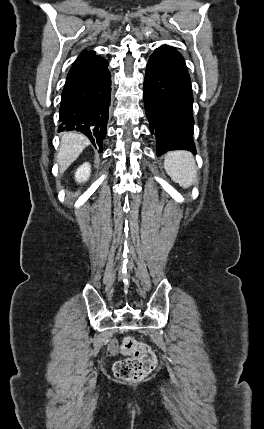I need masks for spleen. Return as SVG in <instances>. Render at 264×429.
<instances>
[{
	"mask_svg": "<svg viewBox=\"0 0 264 429\" xmlns=\"http://www.w3.org/2000/svg\"><path fill=\"white\" fill-rule=\"evenodd\" d=\"M164 168L171 179L184 188H189L197 181L196 164L190 152H169L164 159Z\"/></svg>",
	"mask_w": 264,
	"mask_h": 429,
	"instance_id": "3e777b00",
	"label": "spleen"
}]
</instances>
